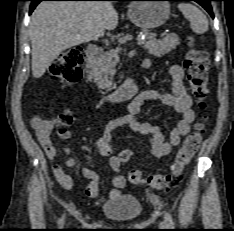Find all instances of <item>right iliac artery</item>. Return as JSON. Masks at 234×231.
<instances>
[{"label": "right iliac artery", "instance_id": "82829eb1", "mask_svg": "<svg viewBox=\"0 0 234 231\" xmlns=\"http://www.w3.org/2000/svg\"><path fill=\"white\" fill-rule=\"evenodd\" d=\"M64 222V216H62V218L59 220L58 224L59 226H62Z\"/></svg>", "mask_w": 234, "mask_h": 231}]
</instances>
